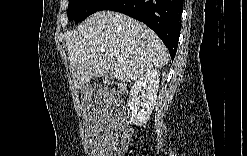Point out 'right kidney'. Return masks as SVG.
<instances>
[{
	"mask_svg": "<svg viewBox=\"0 0 247 156\" xmlns=\"http://www.w3.org/2000/svg\"><path fill=\"white\" fill-rule=\"evenodd\" d=\"M160 82L157 69L144 73L133 85L128 99V116L136 126L148 122L154 109ZM141 93V96H138Z\"/></svg>",
	"mask_w": 247,
	"mask_h": 156,
	"instance_id": "ca27d5eb",
	"label": "right kidney"
}]
</instances>
